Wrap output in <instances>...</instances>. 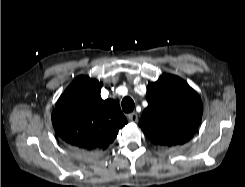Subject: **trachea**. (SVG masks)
<instances>
[{
  "label": "trachea",
  "mask_w": 245,
  "mask_h": 187,
  "mask_svg": "<svg viewBox=\"0 0 245 187\" xmlns=\"http://www.w3.org/2000/svg\"><path fill=\"white\" fill-rule=\"evenodd\" d=\"M121 105L125 113L132 112L135 106L134 101L129 96L123 98Z\"/></svg>",
  "instance_id": "obj_1"
}]
</instances>
